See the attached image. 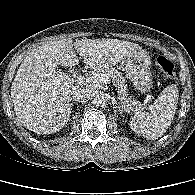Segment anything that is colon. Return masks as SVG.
Returning a JSON list of instances; mask_svg holds the SVG:
<instances>
[{
    "mask_svg": "<svg viewBox=\"0 0 195 195\" xmlns=\"http://www.w3.org/2000/svg\"><path fill=\"white\" fill-rule=\"evenodd\" d=\"M156 67L168 78L173 79L175 76V63L167 56H159L155 61Z\"/></svg>",
    "mask_w": 195,
    "mask_h": 195,
    "instance_id": "5ec220e1",
    "label": "colon"
}]
</instances>
